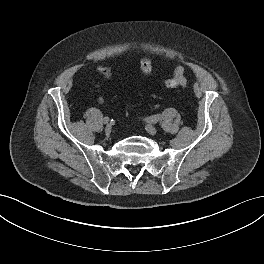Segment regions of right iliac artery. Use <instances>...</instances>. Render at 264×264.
<instances>
[{
	"label": "right iliac artery",
	"mask_w": 264,
	"mask_h": 264,
	"mask_svg": "<svg viewBox=\"0 0 264 264\" xmlns=\"http://www.w3.org/2000/svg\"><path fill=\"white\" fill-rule=\"evenodd\" d=\"M103 121H104V123H108L109 122V117H104Z\"/></svg>",
	"instance_id": "1"
}]
</instances>
